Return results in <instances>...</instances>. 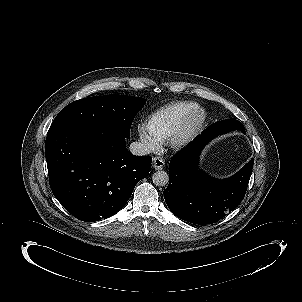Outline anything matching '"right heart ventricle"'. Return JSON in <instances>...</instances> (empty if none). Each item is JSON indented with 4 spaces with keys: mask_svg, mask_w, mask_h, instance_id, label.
I'll return each instance as SVG.
<instances>
[{
    "mask_svg": "<svg viewBox=\"0 0 302 302\" xmlns=\"http://www.w3.org/2000/svg\"><path fill=\"white\" fill-rule=\"evenodd\" d=\"M199 106L191 101H179L157 110L149 119L147 127L161 140L168 138L181 124L184 118Z\"/></svg>",
    "mask_w": 302,
    "mask_h": 302,
    "instance_id": "obj_1",
    "label": "right heart ventricle"
}]
</instances>
